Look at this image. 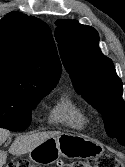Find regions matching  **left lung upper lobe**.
<instances>
[{
    "label": "left lung upper lobe",
    "instance_id": "5c2ea615",
    "mask_svg": "<svg viewBox=\"0 0 125 167\" xmlns=\"http://www.w3.org/2000/svg\"><path fill=\"white\" fill-rule=\"evenodd\" d=\"M55 38L64 67L77 91L102 114L106 133L125 145L122 81L98 47L96 30L77 21L58 20Z\"/></svg>",
    "mask_w": 125,
    "mask_h": 167
}]
</instances>
